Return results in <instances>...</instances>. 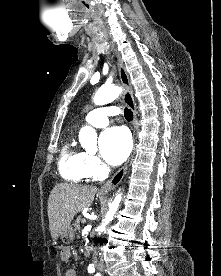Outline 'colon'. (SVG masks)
Instances as JSON below:
<instances>
[{"instance_id": "1", "label": "colon", "mask_w": 221, "mask_h": 276, "mask_svg": "<svg viewBox=\"0 0 221 276\" xmlns=\"http://www.w3.org/2000/svg\"><path fill=\"white\" fill-rule=\"evenodd\" d=\"M55 251H60L62 254L63 251H66V246H64V244H57V246H55Z\"/></svg>"}]
</instances>
